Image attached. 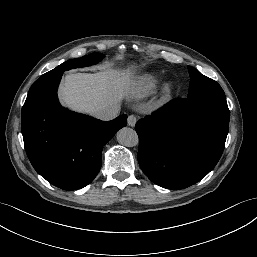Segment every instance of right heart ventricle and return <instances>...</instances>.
I'll list each match as a JSON object with an SVG mask.
<instances>
[{
    "instance_id": "e07e8e85",
    "label": "right heart ventricle",
    "mask_w": 257,
    "mask_h": 257,
    "mask_svg": "<svg viewBox=\"0 0 257 257\" xmlns=\"http://www.w3.org/2000/svg\"><path fill=\"white\" fill-rule=\"evenodd\" d=\"M158 78L151 74L140 77L136 83V91L140 96L147 95L157 87Z\"/></svg>"
}]
</instances>
